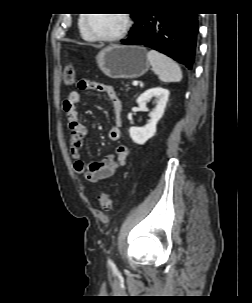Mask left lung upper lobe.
<instances>
[{
    "instance_id": "1",
    "label": "left lung upper lobe",
    "mask_w": 252,
    "mask_h": 303,
    "mask_svg": "<svg viewBox=\"0 0 252 303\" xmlns=\"http://www.w3.org/2000/svg\"><path fill=\"white\" fill-rule=\"evenodd\" d=\"M138 16H139V14H135V15H133V16H131V17H134V19H135V21H136V19H137Z\"/></svg>"
}]
</instances>
